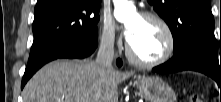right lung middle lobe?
I'll return each instance as SVG.
<instances>
[{
  "label": "right lung middle lobe",
  "mask_w": 221,
  "mask_h": 102,
  "mask_svg": "<svg viewBox=\"0 0 221 102\" xmlns=\"http://www.w3.org/2000/svg\"><path fill=\"white\" fill-rule=\"evenodd\" d=\"M99 7L100 2L87 0H47L36 4L30 57L59 40L94 41Z\"/></svg>",
  "instance_id": "1"
}]
</instances>
